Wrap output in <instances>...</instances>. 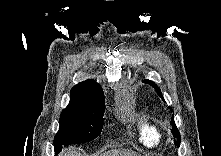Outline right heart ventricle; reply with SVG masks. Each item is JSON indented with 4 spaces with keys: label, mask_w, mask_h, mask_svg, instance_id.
I'll list each match as a JSON object with an SVG mask.
<instances>
[{
    "label": "right heart ventricle",
    "mask_w": 221,
    "mask_h": 156,
    "mask_svg": "<svg viewBox=\"0 0 221 156\" xmlns=\"http://www.w3.org/2000/svg\"><path fill=\"white\" fill-rule=\"evenodd\" d=\"M139 140L148 147L155 148L162 142V133L156 122L148 117H143L138 123Z\"/></svg>",
    "instance_id": "right-heart-ventricle-1"
}]
</instances>
